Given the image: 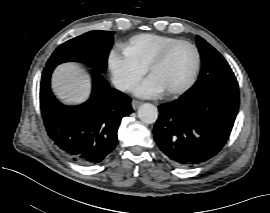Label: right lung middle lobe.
<instances>
[{"label":"right lung middle lobe","instance_id":"obj_1","mask_svg":"<svg viewBox=\"0 0 270 213\" xmlns=\"http://www.w3.org/2000/svg\"><path fill=\"white\" fill-rule=\"evenodd\" d=\"M112 44L113 34L110 31L87 32L61 44L51 55L46 67L76 61L104 72Z\"/></svg>","mask_w":270,"mask_h":213}]
</instances>
